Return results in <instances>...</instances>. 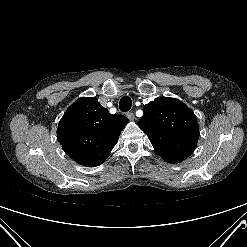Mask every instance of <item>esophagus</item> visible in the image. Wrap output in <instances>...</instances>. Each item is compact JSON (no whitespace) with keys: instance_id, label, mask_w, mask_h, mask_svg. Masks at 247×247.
I'll return each mask as SVG.
<instances>
[{"instance_id":"esophagus-1","label":"esophagus","mask_w":247,"mask_h":247,"mask_svg":"<svg viewBox=\"0 0 247 247\" xmlns=\"http://www.w3.org/2000/svg\"><path fill=\"white\" fill-rule=\"evenodd\" d=\"M126 116L128 117L129 120H134L135 119V116H134V114L132 112H127Z\"/></svg>"}]
</instances>
